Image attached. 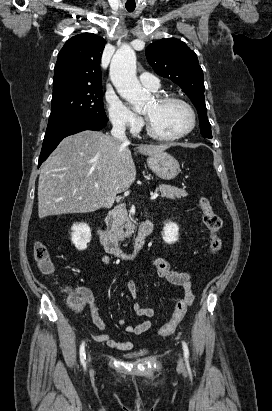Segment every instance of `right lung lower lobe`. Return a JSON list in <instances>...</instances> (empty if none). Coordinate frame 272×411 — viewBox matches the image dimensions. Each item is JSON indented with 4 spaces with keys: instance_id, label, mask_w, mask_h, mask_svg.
Instances as JSON below:
<instances>
[{
    "instance_id": "1",
    "label": "right lung lower lobe",
    "mask_w": 272,
    "mask_h": 411,
    "mask_svg": "<svg viewBox=\"0 0 272 411\" xmlns=\"http://www.w3.org/2000/svg\"><path fill=\"white\" fill-rule=\"evenodd\" d=\"M107 125V121H99L92 119H78L67 123L61 127L46 131L42 150L39 157L38 167L44 162L51 152L57 147L60 141L72 134L81 132L83 130L99 131Z\"/></svg>"
}]
</instances>
